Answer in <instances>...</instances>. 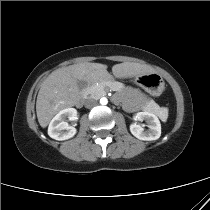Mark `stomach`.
I'll return each instance as SVG.
<instances>
[{
  "instance_id": "obj_1",
  "label": "stomach",
  "mask_w": 210,
  "mask_h": 210,
  "mask_svg": "<svg viewBox=\"0 0 210 210\" xmlns=\"http://www.w3.org/2000/svg\"><path fill=\"white\" fill-rule=\"evenodd\" d=\"M135 83L152 96H159L165 89V82L158 73H149L135 77Z\"/></svg>"
}]
</instances>
